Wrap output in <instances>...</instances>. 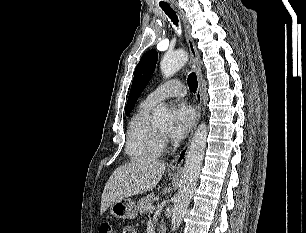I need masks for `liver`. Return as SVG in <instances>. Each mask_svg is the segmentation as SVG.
<instances>
[{"label":"liver","mask_w":306,"mask_h":233,"mask_svg":"<svg viewBox=\"0 0 306 233\" xmlns=\"http://www.w3.org/2000/svg\"><path fill=\"white\" fill-rule=\"evenodd\" d=\"M166 165L152 158H135L114 170L101 199L103 214L114 202L152 190L160 181Z\"/></svg>","instance_id":"6515ba94"}]
</instances>
